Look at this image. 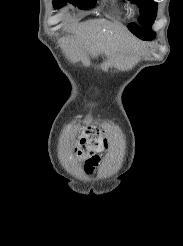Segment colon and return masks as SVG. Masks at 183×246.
Returning <instances> with one entry per match:
<instances>
[{"label": "colon", "instance_id": "obj_1", "mask_svg": "<svg viewBox=\"0 0 183 246\" xmlns=\"http://www.w3.org/2000/svg\"><path fill=\"white\" fill-rule=\"evenodd\" d=\"M105 146L103 134L99 128L88 127L78 140L76 148L80 159L91 157Z\"/></svg>", "mask_w": 183, "mask_h": 246}]
</instances>
